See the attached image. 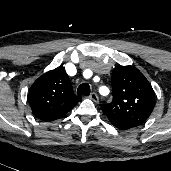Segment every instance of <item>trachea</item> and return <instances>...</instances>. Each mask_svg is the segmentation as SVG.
<instances>
[{
	"mask_svg": "<svg viewBox=\"0 0 171 171\" xmlns=\"http://www.w3.org/2000/svg\"><path fill=\"white\" fill-rule=\"evenodd\" d=\"M90 92V85L88 83H82L77 89L78 95H89Z\"/></svg>",
	"mask_w": 171,
	"mask_h": 171,
	"instance_id": "obj_1",
	"label": "trachea"
}]
</instances>
